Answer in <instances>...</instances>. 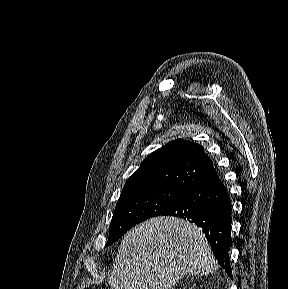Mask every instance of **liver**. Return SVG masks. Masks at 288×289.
<instances>
[{
    "label": "liver",
    "mask_w": 288,
    "mask_h": 289,
    "mask_svg": "<svg viewBox=\"0 0 288 289\" xmlns=\"http://www.w3.org/2000/svg\"><path fill=\"white\" fill-rule=\"evenodd\" d=\"M217 267L201 228L159 216L124 236L108 283L111 289H170L186 275H208Z\"/></svg>",
    "instance_id": "liver-1"
}]
</instances>
